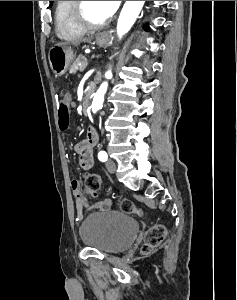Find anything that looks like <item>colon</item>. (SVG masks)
I'll use <instances>...</instances> for the list:
<instances>
[{
	"instance_id": "1",
	"label": "colon",
	"mask_w": 237,
	"mask_h": 300,
	"mask_svg": "<svg viewBox=\"0 0 237 300\" xmlns=\"http://www.w3.org/2000/svg\"><path fill=\"white\" fill-rule=\"evenodd\" d=\"M59 127L66 131L70 128V110L66 101L61 100L58 107ZM101 184V178L97 174L89 173L85 176L84 192L92 195L97 192ZM120 208L127 214L141 215V210L130 200H123ZM166 228L163 224H155L149 228L145 235L144 252H150L159 246L166 237Z\"/></svg>"
}]
</instances>
